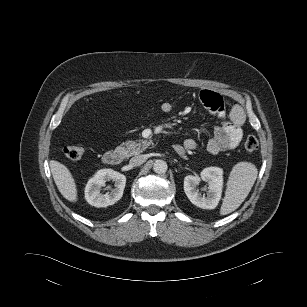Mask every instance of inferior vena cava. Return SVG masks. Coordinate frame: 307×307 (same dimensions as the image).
<instances>
[{"label": "inferior vena cava", "instance_id": "inferior-vena-cava-1", "mask_svg": "<svg viewBox=\"0 0 307 307\" xmlns=\"http://www.w3.org/2000/svg\"><path fill=\"white\" fill-rule=\"evenodd\" d=\"M146 161L145 155H137L130 159L129 164L133 167L140 166Z\"/></svg>", "mask_w": 307, "mask_h": 307}]
</instances>
